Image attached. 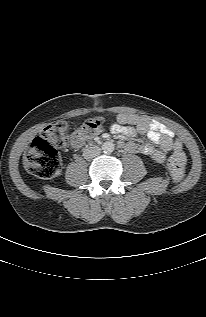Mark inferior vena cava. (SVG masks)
Returning a JSON list of instances; mask_svg holds the SVG:
<instances>
[{
	"label": "inferior vena cava",
	"mask_w": 206,
	"mask_h": 317,
	"mask_svg": "<svg viewBox=\"0 0 206 317\" xmlns=\"http://www.w3.org/2000/svg\"><path fill=\"white\" fill-rule=\"evenodd\" d=\"M101 153V149L97 146L87 147L83 151V157L85 159H92Z\"/></svg>",
	"instance_id": "1"
}]
</instances>
